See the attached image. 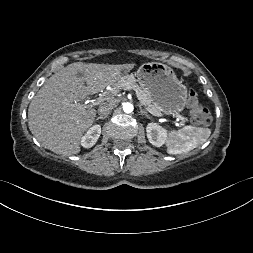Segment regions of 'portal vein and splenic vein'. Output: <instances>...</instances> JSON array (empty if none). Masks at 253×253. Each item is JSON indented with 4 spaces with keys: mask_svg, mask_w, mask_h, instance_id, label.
Instances as JSON below:
<instances>
[{
    "mask_svg": "<svg viewBox=\"0 0 253 253\" xmlns=\"http://www.w3.org/2000/svg\"><path fill=\"white\" fill-rule=\"evenodd\" d=\"M123 89L124 90H128V91H130L131 90V87L130 86H128V85H124L123 86ZM110 95H101L99 98H97L96 100H92V101H90L91 103H92V105H98L100 102H102V101H107V100H110ZM146 110L149 112V113H151L152 115H154V116H157V117H161V116H163L160 112H157V111H155V110H153V109H151V108H149V107H146ZM176 118H178V119H180V120H184L185 118L183 117V116H181V115H174Z\"/></svg>",
    "mask_w": 253,
    "mask_h": 253,
    "instance_id": "portal-vein-and-splenic-vein-1",
    "label": "portal vein and splenic vein"
}]
</instances>
